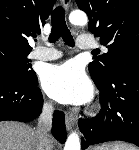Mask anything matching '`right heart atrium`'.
Instances as JSON below:
<instances>
[{
    "label": "right heart atrium",
    "mask_w": 139,
    "mask_h": 150,
    "mask_svg": "<svg viewBox=\"0 0 139 150\" xmlns=\"http://www.w3.org/2000/svg\"><path fill=\"white\" fill-rule=\"evenodd\" d=\"M45 108H46L47 110H50V109L52 108V106H51L49 103H45Z\"/></svg>",
    "instance_id": "obj_1"
}]
</instances>
